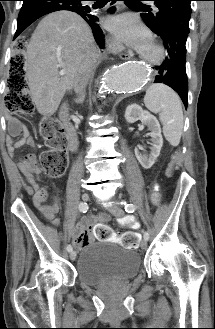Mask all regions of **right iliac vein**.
Listing matches in <instances>:
<instances>
[{"mask_svg": "<svg viewBox=\"0 0 215 329\" xmlns=\"http://www.w3.org/2000/svg\"><path fill=\"white\" fill-rule=\"evenodd\" d=\"M82 200H83L84 202L88 201V200H89V195H88L87 193H83V194H82ZM76 256H77L76 251H71V252H70V259H71L72 261H74V260L76 259Z\"/></svg>", "mask_w": 215, "mask_h": 329, "instance_id": "63e3f726", "label": "right iliac vein"}]
</instances>
